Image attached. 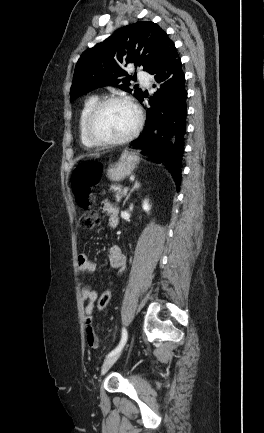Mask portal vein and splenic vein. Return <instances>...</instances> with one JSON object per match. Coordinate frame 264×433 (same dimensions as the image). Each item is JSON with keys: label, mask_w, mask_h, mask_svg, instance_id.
Wrapping results in <instances>:
<instances>
[{"label": "portal vein and splenic vein", "mask_w": 264, "mask_h": 433, "mask_svg": "<svg viewBox=\"0 0 264 433\" xmlns=\"http://www.w3.org/2000/svg\"><path fill=\"white\" fill-rule=\"evenodd\" d=\"M123 191H124L125 193H127V191H128V187H125V188L123 189Z\"/></svg>", "instance_id": "portal-vein-and-splenic-vein-1"}]
</instances>
